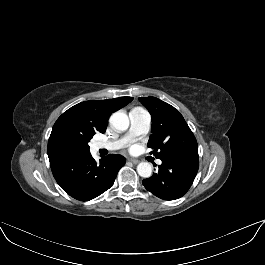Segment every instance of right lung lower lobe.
<instances>
[{"instance_id":"obj_1","label":"right lung lower lobe","mask_w":265,"mask_h":265,"mask_svg":"<svg viewBox=\"0 0 265 265\" xmlns=\"http://www.w3.org/2000/svg\"><path fill=\"white\" fill-rule=\"evenodd\" d=\"M124 164L125 158L118 154H110L97 163L88 153L50 166L57 183L67 194L80 201H89L113 185Z\"/></svg>"}]
</instances>
